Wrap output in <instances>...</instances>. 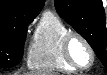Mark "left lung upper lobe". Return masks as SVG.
Masks as SVG:
<instances>
[{
    "label": "left lung upper lobe",
    "instance_id": "left-lung-upper-lobe-1",
    "mask_svg": "<svg viewBox=\"0 0 107 75\" xmlns=\"http://www.w3.org/2000/svg\"><path fill=\"white\" fill-rule=\"evenodd\" d=\"M58 14L91 45L107 68L106 17L101 0H54Z\"/></svg>",
    "mask_w": 107,
    "mask_h": 75
}]
</instances>
